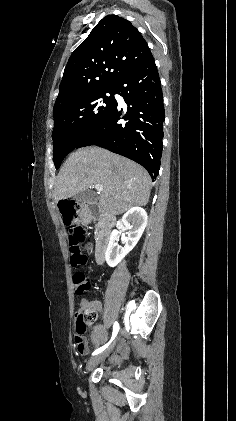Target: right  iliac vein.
I'll list each match as a JSON object with an SVG mask.
<instances>
[{"instance_id":"1","label":"right iliac vein","mask_w":236,"mask_h":421,"mask_svg":"<svg viewBox=\"0 0 236 421\" xmlns=\"http://www.w3.org/2000/svg\"><path fill=\"white\" fill-rule=\"evenodd\" d=\"M115 343H112L107 349H105L102 353L99 355H96L90 359V361L87 364V370H91L94 366H96L98 363L102 362L113 350Z\"/></svg>"}]
</instances>
